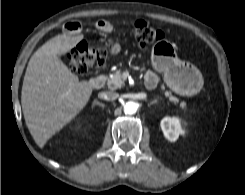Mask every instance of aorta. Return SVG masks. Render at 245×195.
I'll list each match as a JSON object with an SVG mask.
<instances>
[{"label":"aorta","instance_id":"aorta-1","mask_svg":"<svg viewBox=\"0 0 245 195\" xmlns=\"http://www.w3.org/2000/svg\"><path fill=\"white\" fill-rule=\"evenodd\" d=\"M138 105L133 101L126 102L124 104V112L126 114H134L137 111Z\"/></svg>","mask_w":245,"mask_h":195}]
</instances>
